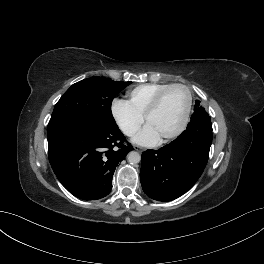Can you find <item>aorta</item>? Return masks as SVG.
Wrapping results in <instances>:
<instances>
[{"label": "aorta", "instance_id": "762f6f07", "mask_svg": "<svg viewBox=\"0 0 264 264\" xmlns=\"http://www.w3.org/2000/svg\"><path fill=\"white\" fill-rule=\"evenodd\" d=\"M127 159L131 164H137L141 160V156L138 152L132 151L127 155Z\"/></svg>", "mask_w": 264, "mask_h": 264}]
</instances>
